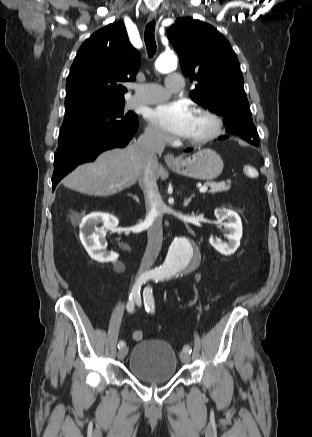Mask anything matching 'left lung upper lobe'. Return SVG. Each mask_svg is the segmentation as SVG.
<instances>
[{
	"label": "left lung upper lobe",
	"instance_id": "obj_1",
	"mask_svg": "<svg viewBox=\"0 0 312 437\" xmlns=\"http://www.w3.org/2000/svg\"><path fill=\"white\" fill-rule=\"evenodd\" d=\"M185 76L198 84L193 101L225 118L227 131L258 143L239 61L228 40L213 26L192 18L177 19L168 29Z\"/></svg>",
	"mask_w": 312,
	"mask_h": 437
}]
</instances>
